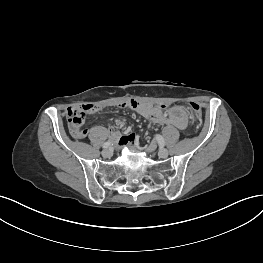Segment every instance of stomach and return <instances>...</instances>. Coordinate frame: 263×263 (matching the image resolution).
Returning a JSON list of instances; mask_svg holds the SVG:
<instances>
[{"instance_id": "0dacf381", "label": "stomach", "mask_w": 263, "mask_h": 263, "mask_svg": "<svg viewBox=\"0 0 263 263\" xmlns=\"http://www.w3.org/2000/svg\"><path fill=\"white\" fill-rule=\"evenodd\" d=\"M164 112L168 118L180 121L186 120L190 114L189 108L186 105L176 102L168 103L165 106Z\"/></svg>"}]
</instances>
